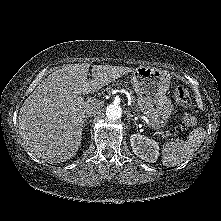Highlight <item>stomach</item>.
I'll use <instances>...</instances> for the list:
<instances>
[{"label": "stomach", "instance_id": "obj_1", "mask_svg": "<svg viewBox=\"0 0 221 221\" xmlns=\"http://www.w3.org/2000/svg\"><path fill=\"white\" fill-rule=\"evenodd\" d=\"M170 79L167 71L146 66H139L132 73L131 84L138 96V108L154 129L163 127L173 111V104L165 95Z\"/></svg>", "mask_w": 221, "mask_h": 221}]
</instances>
